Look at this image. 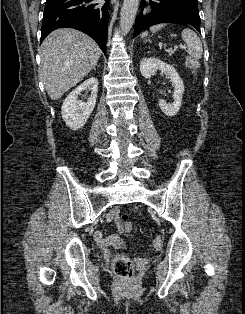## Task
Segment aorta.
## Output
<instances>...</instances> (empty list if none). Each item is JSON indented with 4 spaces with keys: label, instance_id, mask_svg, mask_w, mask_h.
Returning <instances> with one entry per match:
<instances>
[{
    "label": "aorta",
    "instance_id": "762f6f07",
    "mask_svg": "<svg viewBox=\"0 0 245 314\" xmlns=\"http://www.w3.org/2000/svg\"><path fill=\"white\" fill-rule=\"evenodd\" d=\"M139 0H124L120 14V31L126 35L135 21Z\"/></svg>",
    "mask_w": 245,
    "mask_h": 314
}]
</instances>
